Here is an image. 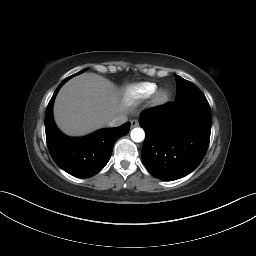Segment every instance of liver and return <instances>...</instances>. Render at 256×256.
I'll return each mask as SVG.
<instances>
[{
	"label": "liver",
	"instance_id": "6515ba94",
	"mask_svg": "<svg viewBox=\"0 0 256 256\" xmlns=\"http://www.w3.org/2000/svg\"><path fill=\"white\" fill-rule=\"evenodd\" d=\"M122 110L119 90L112 82L94 73H83L58 92L54 119L65 134L82 136L105 127Z\"/></svg>",
	"mask_w": 256,
	"mask_h": 256
}]
</instances>
